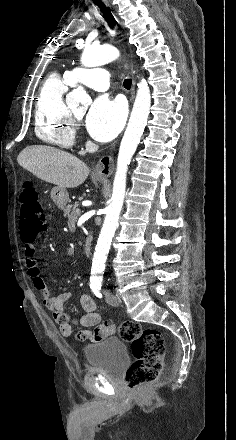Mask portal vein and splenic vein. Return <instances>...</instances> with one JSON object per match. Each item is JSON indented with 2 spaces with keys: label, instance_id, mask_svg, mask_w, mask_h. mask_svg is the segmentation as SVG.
Listing matches in <instances>:
<instances>
[{
  "label": "portal vein and splenic vein",
  "instance_id": "1",
  "mask_svg": "<svg viewBox=\"0 0 236 440\" xmlns=\"http://www.w3.org/2000/svg\"><path fill=\"white\" fill-rule=\"evenodd\" d=\"M76 214L80 215V209H76Z\"/></svg>",
  "mask_w": 236,
  "mask_h": 440
}]
</instances>
